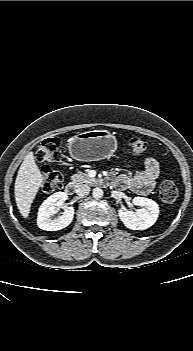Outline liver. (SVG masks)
I'll use <instances>...</instances> for the list:
<instances>
[{
  "instance_id": "1",
  "label": "liver",
  "mask_w": 193,
  "mask_h": 351,
  "mask_svg": "<svg viewBox=\"0 0 193 351\" xmlns=\"http://www.w3.org/2000/svg\"><path fill=\"white\" fill-rule=\"evenodd\" d=\"M43 183L33 152L28 153L22 162L15 180L14 195L17 208L23 218L30 213L31 204Z\"/></svg>"
}]
</instances>
